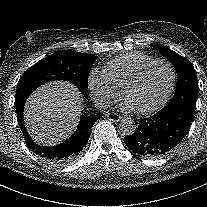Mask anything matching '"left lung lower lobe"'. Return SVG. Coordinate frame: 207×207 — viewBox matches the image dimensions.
I'll return each instance as SVG.
<instances>
[{
    "mask_svg": "<svg viewBox=\"0 0 207 207\" xmlns=\"http://www.w3.org/2000/svg\"><path fill=\"white\" fill-rule=\"evenodd\" d=\"M194 112L176 106L140 119L136 132L124 141L133 152L157 158L170 153L188 133Z\"/></svg>",
    "mask_w": 207,
    "mask_h": 207,
    "instance_id": "obj_1",
    "label": "left lung lower lobe"
}]
</instances>
